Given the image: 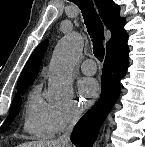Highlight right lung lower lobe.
I'll use <instances>...</instances> for the list:
<instances>
[{"instance_id": "right-lung-lower-lobe-1", "label": "right lung lower lobe", "mask_w": 145, "mask_h": 147, "mask_svg": "<svg viewBox=\"0 0 145 147\" xmlns=\"http://www.w3.org/2000/svg\"><path fill=\"white\" fill-rule=\"evenodd\" d=\"M127 33L113 42L106 52L101 78V96L93 107L75 125L71 141L77 147H91L102 122L119 96V81L125 76L129 48Z\"/></svg>"}]
</instances>
